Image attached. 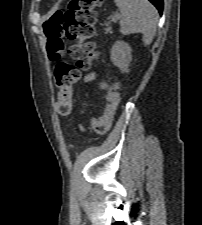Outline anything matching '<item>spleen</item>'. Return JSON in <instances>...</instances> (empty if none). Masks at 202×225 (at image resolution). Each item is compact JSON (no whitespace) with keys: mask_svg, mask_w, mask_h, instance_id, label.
Masks as SVG:
<instances>
[{"mask_svg":"<svg viewBox=\"0 0 202 225\" xmlns=\"http://www.w3.org/2000/svg\"><path fill=\"white\" fill-rule=\"evenodd\" d=\"M121 12L120 32L123 35L142 33L149 45L156 33L158 13L148 0H114Z\"/></svg>","mask_w":202,"mask_h":225,"instance_id":"spleen-1","label":"spleen"}]
</instances>
